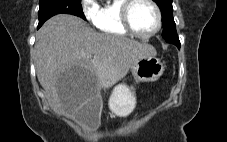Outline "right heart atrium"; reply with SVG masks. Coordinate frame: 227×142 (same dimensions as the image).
<instances>
[{
  "instance_id": "right-heart-atrium-1",
  "label": "right heart atrium",
  "mask_w": 227,
  "mask_h": 142,
  "mask_svg": "<svg viewBox=\"0 0 227 142\" xmlns=\"http://www.w3.org/2000/svg\"><path fill=\"white\" fill-rule=\"evenodd\" d=\"M81 10L85 19L95 24L99 11L96 0H81Z\"/></svg>"
}]
</instances>
